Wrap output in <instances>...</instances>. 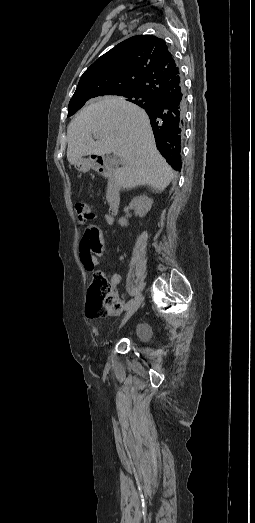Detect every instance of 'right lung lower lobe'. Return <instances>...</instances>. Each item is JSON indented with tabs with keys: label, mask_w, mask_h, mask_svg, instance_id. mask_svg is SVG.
<instances>
[{
	"label": "right lung lower lobe",
	"mask_w": 255,
	"mask_h": 523,
	"mask_svg": "<svg viewBox=\"0 0 255 523\" xmlns=\"http://www.w3.org/2000/svg\"><path fill=\"white\" fill-rule=\"evenodd\" d=\"M181 105V98L173 96L158 102L152 112V117L156 122L157 129V132L154 134V139L165 145V151L168 154H173L180 149L179 141L173 140V138L179 134L176 109L180 108ZM180 170L181 166L179 171Z\"/></svg>",
	"instance_id": "98d812e1"
}]
</instances>
